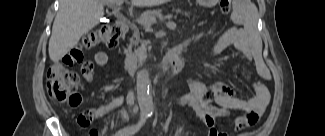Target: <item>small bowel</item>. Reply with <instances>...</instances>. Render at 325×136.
<instances>
[{
	"instance_id": "small-bowel-1",
	"label": "small bowel",
	"mask_w": 325,
	"mask_h": 136,
	"mask_svg": "<svg viewBox=\"0 0 325 136\" xmlns=\"http://www.w3.org/2000/svg\"><path fill=\"white\" fill-rule=\"evenodd\" d=\"M229 46L235 47L239 53L248 56V50L252 47V42L248 34L240 26L232 27L226 30L210 47L207 56L217 54ZM66 52L64 57L60 58V63L64 64L66 69L78 68L79 64H83L82 75L89 82L94 78V67L104 68L109 65L108 56L104 52H97L93 60L92 57H84L81 44H72L71 48H67ZM257 69L263 78L268 79L267 72L260 64L257 65ZM244 75L254 90V95L251 97H240L235 89L223 83L206 86L193 73L188 79L190 93L178 98L175 103L178 106L193 108L209 130V136H227L225 131L215 128L216 119L229 115L232 111H243L244 115L234 120L233 127L234 131H241L258 121L270 101V92L266 85L260 81L252 80L246 73ZM123 102L124 97L117 96L108 104L84 110L79 114L77 121L81 126H87L94 119L103 117L114 111ZM80 103L81 98L77 104L72 106L77 107ZM127 116V110H122L118 114L120 121L126 120ZM95 134L93 132V135Z\"/></svg>"
}]
</instances>
